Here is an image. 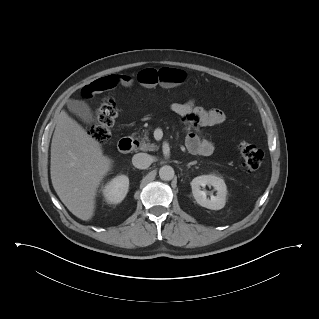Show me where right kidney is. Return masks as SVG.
I'll return each instance as SVG.
<instances>
[{
  "label": "right kidney",
  "mask_w": 319,
  "mask_h": 319,
  "mask_svg": "<svg viewBox=\"0 0 319 319\" xmlns=\"http://www.w3.org/2000/svg\"><path fill=\"white\" fill-rule=\"evenodd\" d=\"M129 189V178L118 175L109 181L103 188V196L108 204H118L126 196Z\"/></svg>",
  "instance_id": "right-kidney-1"
}]
</instances>
